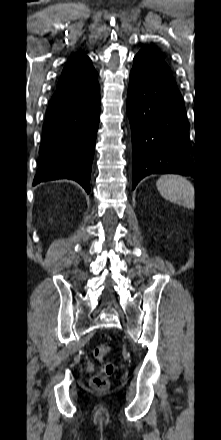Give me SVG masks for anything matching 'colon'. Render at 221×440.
Instances as JSON below:
<instances>
[{
	"instance_id": "colon-1",
	"label": "colon",
	"mask_w": 221,
	"mask_h": 440,
	"mask_svg": "<svg viewBox=\"0 0 221 440\" xmlns=\"http://www.w3.org/2000/svg\"><path fill=\"white\" fill-rule=\"evenodd\" d=\"M110 351L108 345H98L93 350L94 357L103 364L98 373L91 379L92 387L97 390H105L109 387V378L115 371L113 363L107 361Z\"/></svg>"
}]
</instances>
